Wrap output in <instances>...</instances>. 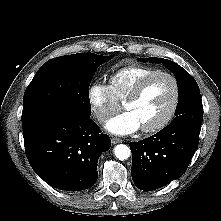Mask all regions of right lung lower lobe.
<instances>
[{"label":"right lung lower lobe","instance_id":"1","mask_svg":"<svg viewBox=\"0 0 221 221\" xmlns=\"http://www.w3.org/2000/svg\"><path fill=\"white\" fill-rule=\"evenodd\" d=\"M28 161L47 184L66 191L94 185L97 163L109 150L110 138L90 117L55 110L23 126Z\"/></svg>","mask_w":221,"mask_h":221}]
</instances>
